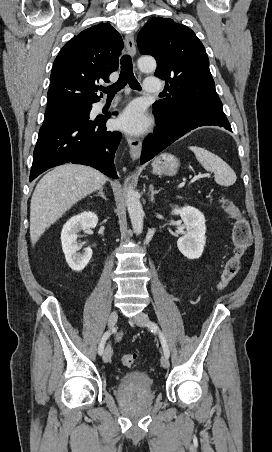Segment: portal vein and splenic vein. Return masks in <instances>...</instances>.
I'll return each mask as SVG.
<instances>
[{"label": "portal vein and splenic vein", "instance_id": "portal-vein-and-splenic-vein-1", "mask_svg": "<svg viewBox=\"0 0 272 452\" xmlns=\"http://www.w3.org/2000/svg\"><path fill=\"white\" fill-rule=\"evenodd\" d=\"M207 176H209L208 174H199V175H196V176H194L193 177V179L190 181V183H194L196 180H198L199 178H202V177H207ZM184 185V182L183 183H181L180 185H179V187H182Z\"/></svg>", "mask_w": 272, "mask_h": 452}]
</instances>
